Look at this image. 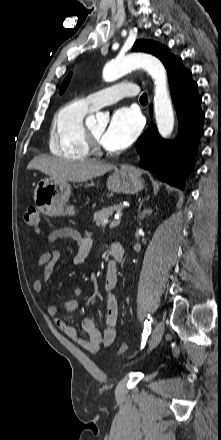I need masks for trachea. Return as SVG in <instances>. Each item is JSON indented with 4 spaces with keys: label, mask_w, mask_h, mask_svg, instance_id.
<instances>
[{
    "label": "trachea",
    "mask_w": 221,
    "mask_h": 440,
    "mask_svg": "<svg viewBox=\"0 0 221 440\" xmlns=\"http://www.w3.org/2000/svg\"><path fill=\"white\" fill-rule=\"evenodd\" d=\"M140 101H141V102H147V94H146V93H143V94L141 95V97H140Z\"/></svg>",
    "instance_id": "3493384b"
}]
</instances>
